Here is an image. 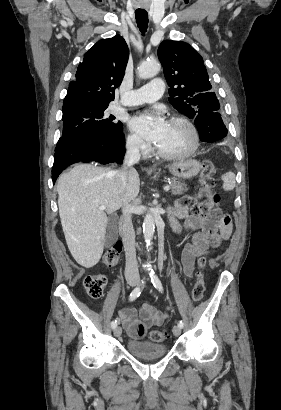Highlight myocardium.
Returning <instances> with one entry per match:
<instances>
[{
  "label": "myocardium",
  "instance_id": "obj_1",
  "mask_svg": "<svg viewBox=\"0 0 281 410\" xmlns=\"http://www.w3.org/2000/svg\"><path fill=\"white\" fill-rule=\"evenodd\" d=\"M169 121L182 123L189 128L192 134V139H193L192 145L189 149H187L184 152H180V153H168V152L163 151L156 145L155 146L156 153L160 157L164 159H169V160L182 159V158H186L194 154L200 145V134H199V131L196 125L189 118L182 116V115H174L169 119Z\"/></svg>",
  "mask_w": 281,
  "mask_h": 410
}]
</instances>
